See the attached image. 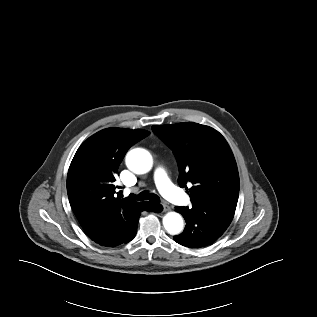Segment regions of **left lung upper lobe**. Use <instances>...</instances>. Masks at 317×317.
Instances as JSON below:
<instances>
[{
    "label": "left lung upper lobe",
    "instance_id": "5c2ea615",
    "mask_svg": "<svg viewBox=\"0 0 317 317\" xmlns=\"http://www.w3.org/2000/svg\"><path fill=\"white\" fill-rule=\"evenodd\" d=\"M152 130L173 150L180 173L178 183L189 190L193 206L235 211L239 174L233 153L218 131L194 122L152 126ZM187 182L192 183L190 189Z\"/></svg>",
    "mask_w": 317,
    "mask_h": 317
}]
</instances>
